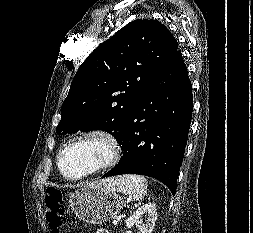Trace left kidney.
Returning <instances> with one entry per match:
<instances>
[{
  "label": "left kidney",
  "mask_w": 253,
  "mask_h": 233,
  "mask_svg": "<svg viewBox=\"0 0 253 233\" xmlns=\"http://www.w3.org/2000/svg\"><path fill=\"white\" fill-rule=\"evenodd\" d=\"M145 218L146 223H143ZM157 219L156 206L154 203L149 202L139 207L126 221V227L131 228L134 224H138V233H152Z\"/></svg>",
  "instance_id": "5707ae66"
}]
</instances>
